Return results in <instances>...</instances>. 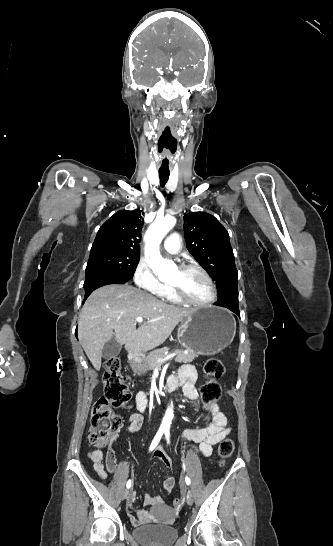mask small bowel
<instances>
[{
	"mask_svg": "<svg viewBox=\"0 0 333 546\" xmlns=\"http://www.w3.org/2000/svg\"><path fill=\"white\" fill-rule=\"evenodd\" d=\"M171 378L176 382L177 386L180 385L183 387L185 397L190 400L196 399V382L198 375L194 366L185 365L181 367L177 374L171 376ZM136 407L140 413H134L129 417L127 427V433L129 434L137 432L143 424V416L141 413H144L148 408V397L144 391L137 393ZM203 408L211 410V422L202 428L184 430L181 438L184 442L199 451L203 456L209 457L212 454L213 447L230 433V427L228 426L226 416L220 411L216 403L209 406L204 405ZM89 457L93 462L95 471L102 479H106L109 474H116L118 465L116 454L113 449H108L106 451L105 463L103 462V452L99 448L90 452ZM152 457L160 461L166 468L173 469L174 465L172 459L162 447L155 450ZM163 486L165 491L171 492L175 487V478L173 476L167 477L164 480ZM134 500L135 492H131L125 504L126 513L134 526L159 521L161 520L159 515L163 513L167 514V518L164 520L168 521L174 514L173 509L168 507L160 496H154L148 493L144 495V503L146 506L150 507L149 510L134 509Z\"/></svg>",
	"mask_w": 333,
	"mask_h": 546,
	"instance_id": "obj_1",
	"label": "small bowel"
}]
</instances>
